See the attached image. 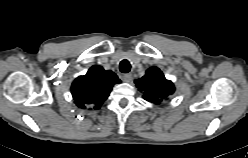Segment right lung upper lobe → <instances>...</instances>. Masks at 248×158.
I'll return each mask as SVG.
<instances>
[{"label": "right lung upper lobe", "mask_w": 248, "mask_h": 158, "mask_svg": "<svg viewBox=\"0 0 248 158\" xmlns=\"http://www.w3.org/2000/svg\"><path fill=\"white\" fill-rule=\"evenodd\" d=\"M119 82L114 72L105 71L101 66H92L86 75L75 79L71 93L79 108L93 106L94 109H99L101 102L108 98L113 85Z\"/></svg>", "instance_id": "1"}]
</instances>
